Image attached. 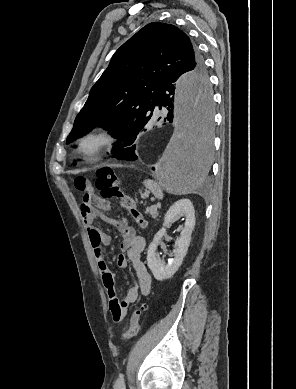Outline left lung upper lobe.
<instances>
[{"label": "left lung upper lobe", "mask_w": 296, "mask_h": 389, "mask_svg": "<svg viewBox=\"0 0 296 389\" xmlns=\"http://www.w3.org/2000/svg\"><path fill=\"white\" fill-rule=\"evenodd\" d=\"M185 72L190 78L205 77L209 86L203 60L183 31L159 22L146 25L115 52L77 115L67 143L95 125L117 139L135 124L142 126L140 131L152 119L162 84Z\"/></svg>", "instance_id": "1"}]
</instances>
